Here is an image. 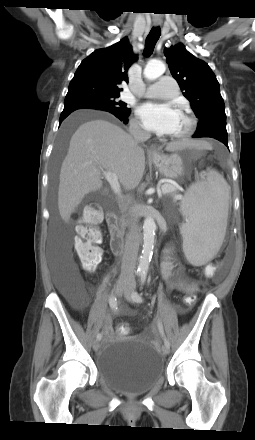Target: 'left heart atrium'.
Listing matches in <instances>:
<instances>
[{
	"label": "left heart atrium",
	"instance_id": "obj_1",
	"mask_svg": "<svg viewBox=\"0 0 255 440\" xmlns=\"http://www.w3.org/2000/svg\"><path fill=\"white\" fill-rule=\"evenodd\" d=\"M137 114L147 130L157 134H172L179 112L167 103L148 102L138 108Z\"/></svg>",
	"mask_w": 255,
	"mask_h": 440
}]
</instances>
